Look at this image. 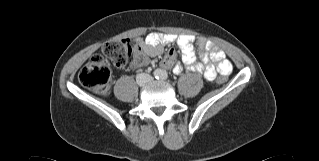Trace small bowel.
<instances>
[{"label": "small bowel", "instance_id": "small-bowel-1", "mask_svg": "<svg viewBox=\"0 0 319 161\" xmlns=\"http://www.w3.org/2000/svg\"><path fill=\"white\" fill-rule=\"evenodd\" d=\"M138 42L147 47L151 56H159L163 53L165 44H176L180 51L183 63L193 72L202 74L207 80H214L217 73L229 75L232 65L226 59L225 53L217 48H212L208 42L200 41V62L196 61V55L193 47L194 39L189 35L162 34L158 32L149 33L145 38H139ZM176 49L170 48L165 59L161 63L162 66L173 68L175 73H180L183 68L175 62ZM211 62H215L213 65Z\"/></svg>", "mask_w": 319, "mask_h": 161}]
</instances>
